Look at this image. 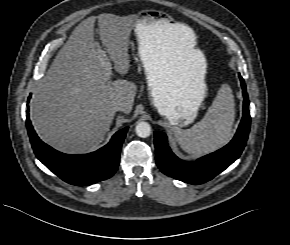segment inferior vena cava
I'll return each mask as SVG.
<instances>
[{
	"instance_id": "inferior-vena-cava-1",
	"label": "inferior vena cava",
	"mask_w": 290,
	"mask_h": 245,
	"mask_svg": "<svg viewBox=\"0 0 290 245\" xmlns=\"http://www.w3.org/2000/svg\"><path fill=\"white\" fill-rule=\"evenodd\" d=\"M111 108H112V110L115 111V112H116V111H123L124 106H123V103H122V102H120V101H115V102H113Z\"/></svg>"
}]
</instances>
